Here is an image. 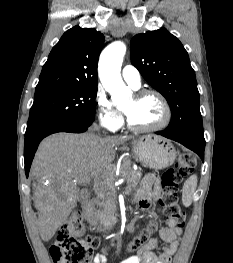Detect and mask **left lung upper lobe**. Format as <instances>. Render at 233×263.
<instances>
[{"instance_id": "left-lung-upper-lobe-1", "label": "left lung upper lobe", "mask_w": 233, "mask_h": 263, "mask_svg": "<svg viewBox=\"0 0 233 263\" xmlns=\"http://www.w3.org/2000/svg\"><path fill=\"white\" fill-rule=\"evenodd\" d=\"M131 61L168 101L172 118L166 131L205 142L195 71L181 42L165 28L131 40Z\"/></svg>"}]
</instances>
